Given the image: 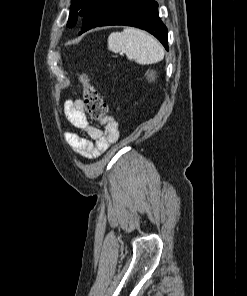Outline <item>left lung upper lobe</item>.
Instances as JSON below:
<instances>
[{"instance_id": "1", "label": "left lung upper lobe", "mask_w": 247, "mask_h": 296, "mask_svg": "<svg viewBox=\"0 0 247 296\" xmlns=\"http://www.w3.org/2000/svg\"><path fill=\"white\" fill-rule=\"evenodd\" d=\"M98 1L99 0H72L67 26H75L78 17L85 16Z\"/></svg>"}]
</instances>
